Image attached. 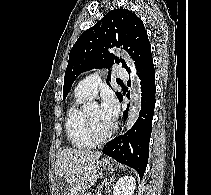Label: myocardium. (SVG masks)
Wrapping results in <instances>:
<instances>
[{
    "instance_id": "myocardium-1",
    "label": "myocardium",
    "mask_w": 211,
    "mask_h": 195,
    "mask_svg": "<svg viewBox=\"0 0 211 195\" xmlns=\"http://www.w3.org/2000/svg\"><path fill=\"white\" fill-rule=\"evenodd\" d=\"M84 122H85V128H86V132L88 137L92 140V142L94 144H100L103 143L105 141H107L113 134L115 126L112 125L111 128L103 135H98L96 134L91 119L88 115L87 112H84Z\"/></svg>"
}]
</instances>
